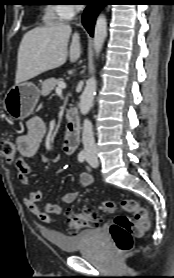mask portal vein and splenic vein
<instances>
[{
    "mask_svg": "<svg viewBox=\"0 0 174 278\" xmlns=\"http://www.w3.org/2000/svg\"><path fill=\"white\" fill-rule=\"evenodd\" d=\"M66 88V84L64 82H60L58 84V87L56 88V91H61L62 89Z\"/></svg>",
    "mask_w": 174,
    "mask_h": 278,
    "instance_id": "1",
    "label": "portal vein and splenic vein"
}]
</instances>
